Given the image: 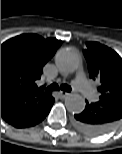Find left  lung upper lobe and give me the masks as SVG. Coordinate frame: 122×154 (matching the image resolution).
I'll return each mask as SVG.
<instances>
[{
	"mask_svg": "<svg viewBox=\"0 0 122 154\" xmlns=\"http://www.w3.org/2000/svg\"><path fill=\"white\" fill-rule=\"evenodd\" d=\"M83 50L89 76L99 82V99L122 98V58L109 47L87 42Z\"/></svg>",
	"mask_w": 122,
	"mask_h": 154,
	"instance_id": "5c2ea615",
	"label": "left lung upper lobe"
}]
</instances>
